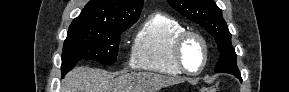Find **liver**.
<instances>
[{"label":"liver","mask_w":289,"mask_h":92,"mask_svg":"<svg viewBox=\"0 0 289 92\" xmlns=\"http://www.w3.org/2000/svg\"><path fill=\"white\" fill-rule=\"evenodd\" d=\"M181 80L164 75L142 72L109 73L89 67H76L62 81L63 92H157Z\"/></svg>","instance_id":"1"}]
</instances>
